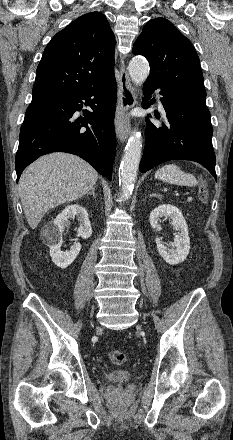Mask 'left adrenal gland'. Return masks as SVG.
I'll return each instance as SVG.
<instances>
[{"mask_svg":"<svg viewBox=\"0 0 233 440\" xmlns=\"http://www.w3.org/2000/svg\"><path fill=\"white\" fill-rule=\"evenodd\" d=\"M151 197H156V198H160V195L156 194V193H152L150 194Z\"/></svg>","mask_w":233,"mask_h":440,"instance_id":"obj_1","label":"left adrenal gland"}]
</instances>
